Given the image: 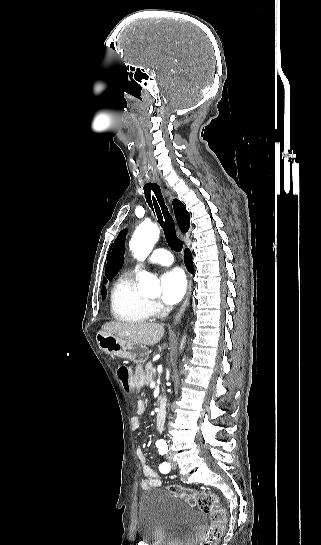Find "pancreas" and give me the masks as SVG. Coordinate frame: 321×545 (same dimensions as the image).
Instances as JSON below:
<instances>
[{"mask_svg": "<svg viewBox=\"0 0 321 545\" xmlns=\"http://www.w3.org/2000/svg\"><path fill=\"white\" fill-rule=\"evenodd\" d=\"M153 363H147L146 367H145V379H146V383L147 385H150V383H153Z\"/></svg>", "mask_w": 321, "mask_h": 545, "instance_id": "cf45deb5", "label": "pancreas"}]
</instances>
